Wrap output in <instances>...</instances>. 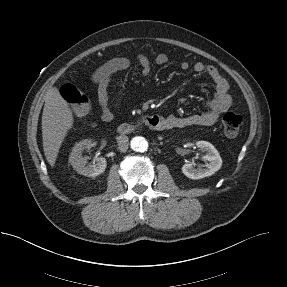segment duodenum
Returning <instances> with one entry per match:
<instances>
[{"mask_svg": "<svg viewBox=\"0 0 287 287\" xmlns=\"http://www.w3.org/2000/svg\"><path fill=\"white\" fill-rule=\"evenodd\" d=\"M162 126L159 116H143L135 123H122L117 130L120 134H130L142 127H148L152 130H159Z\"/></svg>", "mask_w": 287, "mask_h": 287, "instance_id": "obj_1", "label": "duodenum"}]
</instances>
